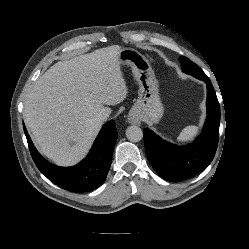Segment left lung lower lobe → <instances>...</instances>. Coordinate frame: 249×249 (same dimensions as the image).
Returning <instances> with one entry per match:
<instances>
[{"label":"left lung lower lobe","instance_id":"obj_1","mask_svg":"<svg viewBox=\"0 0 249 249\" xmlns=\"http://www.w3.org/2000/svg\"><path fill=\"white\" fill-rule=\"evenodd\" d=\"M191 75L207 84V118L202 134L192 144L177 146L165 142L149 129L143 131L149 162L159 176L172 182L191 178L205 170L218 145L220 105L215 90L203 71Z\"/></svg>","mask_w":249,"mask_h":249}]
</instances>
